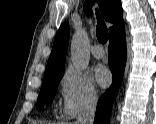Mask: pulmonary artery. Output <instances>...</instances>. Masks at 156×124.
<instances>
[{
    "instance_id": "pulmonary-artery-1",
    "label": "pulmonary artery",
    "mask_w": 156,
    "mask_h": 124,
    "mask_svg": "<svg viewBox=\"0 0 156 124\" xmlns=\"http://www.w3.org/2000/svg\"><path fill=\"white\" fill-rule=\"evenodd\" d=\"M93 57L101 59L104 56V50L100 45H94L91 49Z\"/></svg>"
}]
</instances>
